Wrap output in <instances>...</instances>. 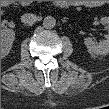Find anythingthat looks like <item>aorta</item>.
<instances>
[{
	"mask_svg": "<svg viewBox=\"0 0 109 109\" xmlns=\"http://www.w3.org/2000/svg\"><path fill=\"white\" fill-rule=\"evenodd\" d=\"M56 26V19L52 16H47L43 20V27L46 29H52Z\"/></svg>",
	"mask_w": 109,
	"mask_h": 109,
	"instance_id": "762f6f07",
	"label": "aorta"
}]
</instances>
